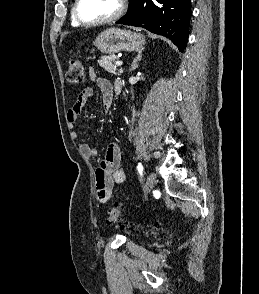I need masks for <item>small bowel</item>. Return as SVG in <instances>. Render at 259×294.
I'll list each match as a JSON object with an SVG mask.
<instances>
[{
    "label": "small bowel",
    "mask_w": 259,
    "mask_h": 294,
    "mask_svg": "<svg viewBox=\"0 0 259 294\" xmlns=\"http://www.w3.org/2000/svg\"><path fill=\"white\" fill-rule=\"evenodd\" d=\"M89 78L96 79L93 69L89 70ZM98 88L101 93V104L104 111H108L112 105L115 94L122 90V82L116 81L113 85L106 79L97 80ZM93 95L91 87L84 88L76 98L73 106L67 112V120L70 124H74L88 100ZM77 132L73 131L72 138H77ZM81 151L91 160H95L96 151L86 143L80 145ZM122 159L121 148L117 142H111L106 150L103 160L100 162L95 171L96 179V195L101 203L109 201L112 195L114 184L123 183L126 180V174L120 168Z\"/></svg>",
    "instance_id": "1"
}]
</instances>
